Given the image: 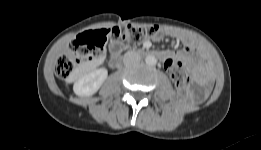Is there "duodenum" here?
I'll return each mask as SVG.
<instances>
[{
    "label": "duodenum",
    "mask_w": 261,
    "mask_h": 150,
    "mask_svg": "<svg viewBox=\"0 0 261 150\" xmlns=\"http://www.w3.org/2000/svg\"><path fill=\"white\" fill-rule=\"evenodd\" d=\"M137 55H141V56H153V57H158V53L157 52H150L148 50H138L136 52ZM121 63V56L114 54L111 59H110V66L115 68L117 66H119V64Z\"/></svg>",
    "instance_id": "obj_1"
}]
</instances>
